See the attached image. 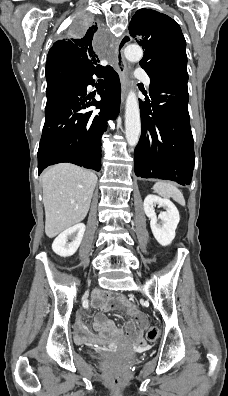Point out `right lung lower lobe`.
<instances>
[{
  "instance_id": "right-lung-lower-lobe-1",
  "label": "right lung lower lobe",
  "mask_w": 228,
  "mask_h": 396,
  "mask_svg": "<svg viewBox=\"0 0 228 396\" xmlns=\"http://www.w3.org/2000/svg\"><path fill=\"white\" fill-rule=\"evenodd\" d=\"M93 75L100 78V101L86 95L87 86L95 84ZM120 96L119 76L112 68L75 72L69 81L47 96L46 119L38 149V174L60 162L99 171L101 137L107 120L115 119L119 113ZM92 106L100 111L93 110Z\"/></svg>"
}]
</instances>
